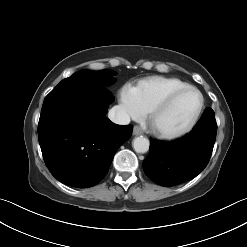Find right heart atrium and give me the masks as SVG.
<instances>
[{
	"instance_id": "d8ad5b80",
	"label": "right heart atrium",
	"mask_w": 247,
	"mask_h": 247,
	"mask_svg": "<svg viewBox=\"0 0 247 247\" xmlns=\"http://www.w3.org/2000/svg\"><path fill=\"white\" fill-rule=\"evenodd\" d=\"M120 104L123 111L131 118L138 119L144 115L140 101L138 99L135 88L125 86L120 93Z\"/></svg>"
}]
</instances>
